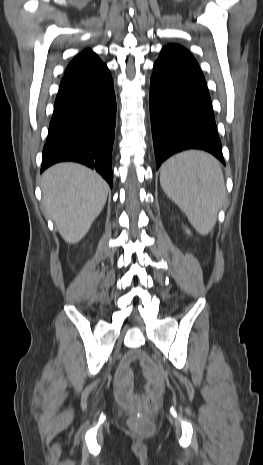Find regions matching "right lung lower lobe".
Instances as JSON below:
<instances>
[{
	"instance_id": "obj_1",
	"label": "right lung lower lobe",
	"mask_w": 263,
	"mask_h": 465,
	"mask_svg": "<svg viewBox=\"0 0 263 465\" xmlns=\"http://www.w3.org/2000/svg\"><path fill=\"white\" fill-rule=\"evenodd\" d=\"M116 99L105 66L64 76L54 103L41 172L62 161L97 170L112 187L111 153Z\"/></svg>"
}]
</instances>
